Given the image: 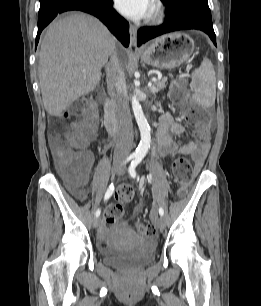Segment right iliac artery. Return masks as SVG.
<instances>
[{
    "instance_id": "82829eb1",
    "label": "right iliac artery",
    "mask_w": 261,
    "mask_h": 306,
    "mask_svg": "<svg viewBox=\"0 0 261 306\" xmlns=\"http://www.w3.org/2000/svg\"><path fill=\"white\" fill-rule=\"evenodd\" d=\"M133 158H134V155H131V156L127 157V159L122 164H125V163L129 162ZM113 192H114V185L112 183L105 193L104 200L109 199L111 197V195L113 194ZM100 213H101V210H100V208H98L95 212L96 217H99Z\"/></svg>"
}]
</instances>
